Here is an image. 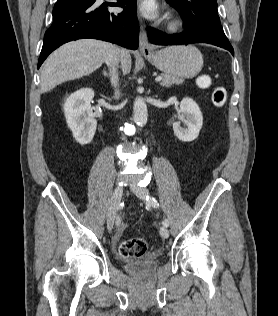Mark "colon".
I'll return each instance as SVG.
<instances>
[{
  "label": "colon",
  "mask_w": 278,
  "mask_h": 316,
  "mask_svg": "<svg viewBox=\"0 0 278 316\" xmlns=\"http://www.w3.org/2000/svg\"><path fill=\"white\" fill-rule=\"evenodd\" d=\"M210 82L207 76L199 79L200 85H208ZM211 100L214 106L222 107L227 100V89L224 86H216L212 90ZM147 242L143 238H133L125 240L120 244L119 253L122 257H139L145 254L147 250Z\"/></svg>",
  "instance_id": "colon-1"
}]
</instances>
